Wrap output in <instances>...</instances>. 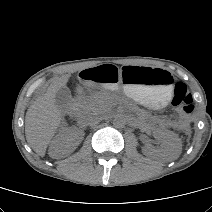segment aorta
Segmentation results:
<instances>
[{"label":"aorta","instance_id":"aorta-1","mask_svg":"<svg viewBox=\"0 0 212 212\" xmlns=\"http://www.w3.org/2000/svg\"><path fill=\"white\" fill-rule=\"evenodd\" d=\"M126 124V118L123 115L115 116L113 120V125L117 128H122Z\"/></svg>","mask_w":212,"mask_h":212}]
</instances>
